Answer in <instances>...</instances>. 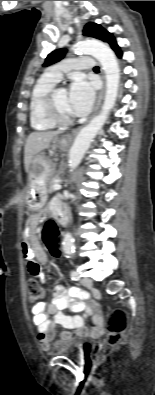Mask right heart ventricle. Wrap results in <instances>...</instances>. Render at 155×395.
<instances>
[{
  "label": "right heart ventricle",
  "instance_id": "1",
  "mask_svg": "<svg viewBox=\"0 0 155 395\" xmlns=\"http://www.w3.org/2000/svg\"><path fill=\"white\" fill-rule=\"evenodd\" d=\"M57 81L48 74L41 76L32 88L29 99L30 125L34 130L45 131L55 127L44 115L42 101L45 94L56 85Z\"/></svg>",
  "mask_w": 155,
  "mask_h": 395
}]
</instances>
